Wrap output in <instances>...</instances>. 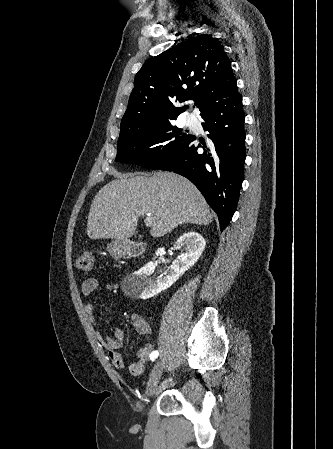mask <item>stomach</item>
Returning a JSON list of instances; mask_svg holds the SVG:
<instances>
[{"label": "stomach", "mask_w": 333, "mask_h": 449, "mask_svg": "<svg viewBox=\"0 0 333 449\" xmlns=\"http://www.w3.org/2000/svg\"><path fill=\"white\" fill-rule=\"evenodd\" d=\"M108 252L114 257H121L125 254L122 243L119 240L113 241L107 246Z\"/></svg>", "instance_id": "obj_1"}]
</instances>
